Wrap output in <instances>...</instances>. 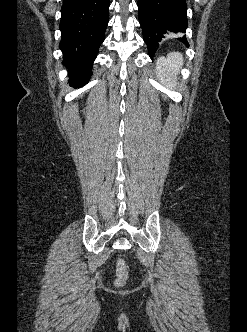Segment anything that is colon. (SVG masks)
Wrapping results in <instances>:
<instances>
[{"label": "colon", "mask_w": 247, "mask_h": 332, "mask_svg": "<svg viewBox=\"0 0 247 332\" xmlns=\"http://www.w3.org/2000/svg\"><path fill=\"white\" fill-rule=\"evenodd\" d=\"M128 279L127 267L124 260L120 259L116 263V281L117 287H122L126 284Z\"/></svg>", "instance_id": "colon-1"}]
</instances>
